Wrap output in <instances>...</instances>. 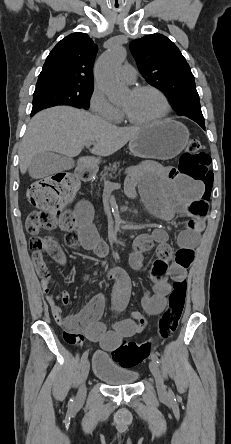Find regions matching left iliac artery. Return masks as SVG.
<instances>
[{"label":"left iliac artery","mask_w":231,"mask_h":444,"mask_svg":"<svg viewBox=\"0 0 231 444\" xmlns=\"http://www.w3.org/2000/svg\"><path fill=\"white\" fill-rule=\"evenodd\" d=\"M151 358H152L154 361H156L157 364H160V360H159V358H158V356H157L156 353H152V354H151ZM169 393H170V395H173V392H172L171 390H169Z\"/></svg>","instance_id":"1"}]
</instances>
